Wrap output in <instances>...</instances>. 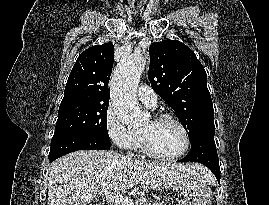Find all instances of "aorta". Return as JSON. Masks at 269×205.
<instances>
[{"instance_id":"762f6f07","label":"aorta","mask_w":269,"mask_h":205,"mask_svg":"<svg viewBox=\"0 0 269 205\" xmlns=\"http://www.w3.org/2000/svg\"><path fill=\"white\" fill-rule=\"evenodd\" d=\"M145 65L146 60L141 55L124 56L111 79L113 110L117 118L129 127H137L146 120L136 99V87Z\"/></svg>"}]
</instances>
